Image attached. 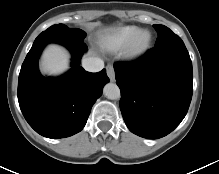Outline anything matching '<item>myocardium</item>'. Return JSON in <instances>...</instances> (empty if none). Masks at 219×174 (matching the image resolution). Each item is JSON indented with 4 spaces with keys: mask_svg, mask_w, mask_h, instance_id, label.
Segmentation results:
<instances>
[{
    "mask_svg": "<svg viewBox=\"0 0 219 174\" xmlns=\"http://www.w3.org/2000/svg\"><path fill=\"white\" fill-rule=\"evenodd\" d=\"M152 43V34L149 30L137 31L124 47L123 55L128 59H136L144 55Z\"/></svg>",
    "mask_w": 219,
    "mask_h": 174,
    "instance_id": "myocardium-1",
    "label": "myocardium"
}]
</instances>
